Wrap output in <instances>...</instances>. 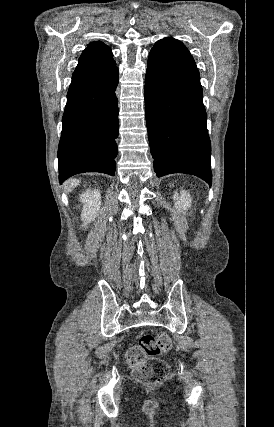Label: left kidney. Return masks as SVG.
Here are the masks:
<instances>
[{
    "mask_svg": "<svg viewBox=\"0 0 274 427\" xmlns=\"http://www.w3.org/2000/svg\"><path fill=\"white\" fill-rule=\"evenodd\" d=\"M173 200H177L174 204L177 212H184V210L191 208L192 198L188 192H185V190H182L180 194L174 192Z\"/></svg>",
    "mask_w": 274,
    "mask_h": 427,
    "instance_id": "left-kidney-1",
    "label": "left kidney"
}]
</instances>
